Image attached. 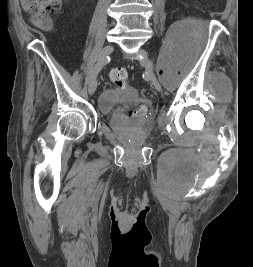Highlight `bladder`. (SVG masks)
Instances as JSON below:
<instances>
[{"label":"bladder","mask_w":253,"mask_h":267,"mask_svg":"<svg viewBox=\"0 0 253 267\" xmlns=\"http://www.w3.org/2000/svg\"><path fill=\"white\" fill-rule=\"evenodd\" d=\"M137 91L128 85L105 89L99 97V106L107 109L119 103L136 100Z\"/></svg>","instance_id":"bladder-1"}]
</instances>
